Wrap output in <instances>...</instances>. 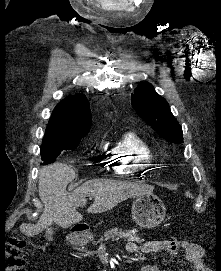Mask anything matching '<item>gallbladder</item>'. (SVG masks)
I'll list each match as a JSON object with an SVG mask.
<instances>
[{"instance_id": "gallbladder-1", "label": "gallbladder", "mask_w": 221, "mask_h": 271, "mask_svg": "<svg viewBox=\"0 0 221 271\" xmlns=\"http://www.w3.org/2000/svg\"><path fill=\"white\" fill-rule=\"evenodd\" d=\"M55 229L56 227H53V225H49V227H46V229H44V237H47L48 241H53Z\"/></svg>"}]
</instances>
